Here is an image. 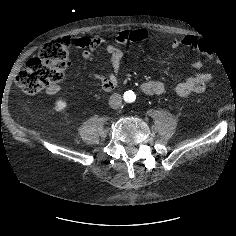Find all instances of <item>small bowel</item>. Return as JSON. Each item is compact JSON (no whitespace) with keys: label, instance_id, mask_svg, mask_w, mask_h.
I'll return each mask as SVG.
<instances>
[{"label":"small bowel","instance_id":"obj_1","mask_svg":"<svg viewBox=\"0 0 236 236\" xmlns=\"http://www.w3.org/2000/svg\"><path fill=\"white\" fill-rule=\"evenodd\" d=\"M149 38L147 31L145 30H122L116 37V42L106 45V53L109 56L110 64L113 68L112 74H106L98 71L93 67L94 56L93 51L105 44L106 40L101 36L94 37H78L75 39V46L78 48H85L81 53V58L91 64V75L96 79L105 91L113 90L119 81V74L121 71V61L123 57L122 45L130 42H142ZM172 46H192L202 45L200 40L195 35H186L182 38L172 40ZM202 61H195L192 64L194 73L192 75H181V81L174 86L175 93L182 99H188L194 95L205 92L207 85L213 82V74L209 72L199 73L197 72L203 67ZM139 89L142 93L147 95L161 94L166 90L165 83L161 81L151 80L144 81L140 84ZM59 91V85L53 84L48 86L46 93L48 95H54Z\"/></svg>","mask_w":236,"mask_h":236}]
</instances>
